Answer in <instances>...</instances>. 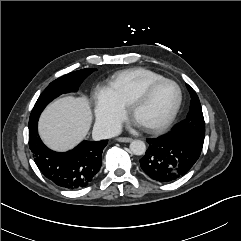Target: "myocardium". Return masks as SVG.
Instances as JSON below:
<instances>
[{
    "label": "myocardium",
    "instance_id": "obj_1",
    "mask_svg": "<svg viewBox=\"0 0 241 241\" xmlns=\"http://www.w3.org/2000/svg\"><path fill=\"white\" fill-rule=\"evenodd\" d=\"M164 83H170L173 84L178 91V100L177 103L171 113V115L168 117L167 120H165L163 123L158 125H142L146 130L150 132L160 133L165 130H167L176 120L178 113L181 109L182 102H183V92L181 87L177 82L171 79L163 78L157 81H154L150 84H148L131 102L130 104V114L134 118L136 110L147 101V99L150 97L152 92L159 87L160 85Z\"/></svg>",
    "mask_w": 241,
    "mask_h": 241
}]
</instances>
